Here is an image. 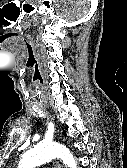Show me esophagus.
<instances>
[{
    "label": "esophagus",
    "instance_id": "obj_1",
    "mask_svg": "<svg viewBox=\"0 0 127 168\" xmlns=\"http://www.w3.org/2000/svg\"><path fill=\"white\" fill-rule=\"evenodd\" d=\"M57 168H63V166L61 164H58Z\"/></svg>",
    "mask_w": 127,
    "mask_h": 168
}]
</instances>
